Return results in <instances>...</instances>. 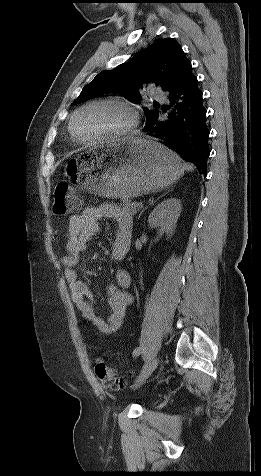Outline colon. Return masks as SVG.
<instances>
[{
	"label": "colon",
	"mask_w": 261,
	"mask_h": 476,
	"mask_svg": "<svg viewBox=\"0 0 261 476\" xmlns=\"http://www.w3.org/2000/svg\"><path fill=\"white\" fill-rule=\"evenodd\" d=\"M79 205V198L68 182L62 181L56 185L53 202V211L55 214L66 215L78 209ZM95 373L100 383L109 389L118 390L125 385V380L119 377L103 360L96 362Z\"/></svg>",
	"instance_id": "colon-1"
}]
</instances>
